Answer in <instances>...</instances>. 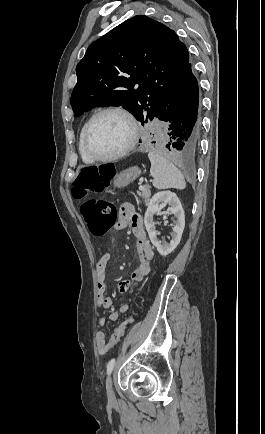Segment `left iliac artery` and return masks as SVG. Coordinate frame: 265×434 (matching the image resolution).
<instances>
[{
	"mask_svg": "<svg viewBox=\"0 0 265 434\" xmlns=\"http://www.w3.org/2000/svg\"><path fill=\"white\" fill-rule=\"evenodd\" d=\"M115 363H116L115 358H112V359L108 362V364H107V374H108V375H110L111 372L113 371L114 366H115Z\"/></svg>",
	"mask_w": 265,
	"mask_h": 434,
	"instance_id": "left-iliac-artery-1",
	"label": "left iliac artery"
}]
</instances>
